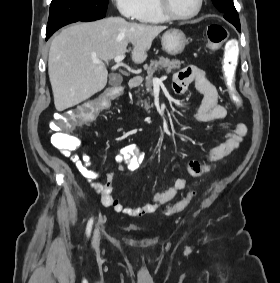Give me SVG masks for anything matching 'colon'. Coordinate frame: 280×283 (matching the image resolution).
<instances>
[{"mask_svg": "<svg viewBox=\"0 0 280 283\" xmlns=\"http://www.w3.org/2000/svg\"><path fill=\"white\" fill-rule=\"evenodd\" d=\"M227 29L219 24H212L207 28V47L209 50H217L224 44V54L222 59V78L223 82L236 104L241 103V99L236 90V69L238 55L235 40H227ZM124 87H104L101 98L75 107V110H63L62 114H54V121L49 123L51 129V141L53 145L62 152H71L80 146V139L67 132H77L80 124H91L92 120L99 119L97 112H103V107L108 100L118 97L124 92ZM193 193L190 192L185 198L172 207V214L181 212L189 204Z\"/></svg>", "mask_w": 280, "mask_h": 283, "instance_id": "1", "label": "colon"}]
</instances>
